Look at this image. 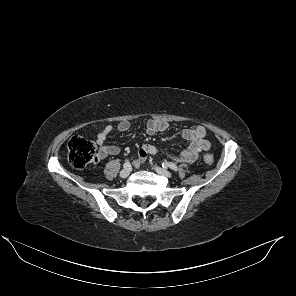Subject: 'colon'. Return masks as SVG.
Returning a JSON list of instances; mask_svg holds the SVG:
<instances>
[{"instance_id": "colon-1", "label": "colon", "mask_w": 296, "mask_h": 296, "mask_svg": "<svg viewBox=\"0 0 296 296\" xmlns=\"http://www.w3.org/2000/svg\"><path fill=\"white\" fill-rule=\"evenodd\" d=\"M68 159L75 168L86 167L97 159L95 143L79 136L72 137L68 142ZM203 160L211 165L214 158L211 154H205Z\"/></svg>"}]
</instances>
